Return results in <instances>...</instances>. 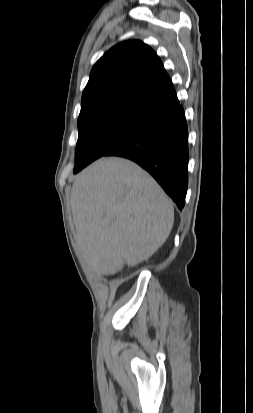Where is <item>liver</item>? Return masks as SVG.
<instances>
[{
    "mask_svg": "<svg viewBox=\"0 0 253 413\" xmlns=\"http://www.w3.org/2000/svg\"><path fill=\"white\" fill-rule=\"evenodd\" d=\"M70 202L76 244L97 275H113L149 259L174 223L169 197L146 171L124 158H101L79 173Z\"/></svg>",
    "mask_w": 253,
    "mask_h": 413,
    "instance_id": "6515ba94",
    "label": "liver"
}]
</instances>
